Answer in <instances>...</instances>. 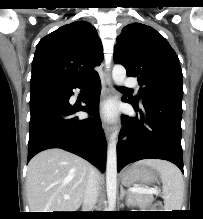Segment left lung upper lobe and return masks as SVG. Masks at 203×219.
Listing matches in <instances>:
<instances>
[{"mask_svg":"<svg viewBox=\"0 0 203 219\" xmlns=\"http://www.w3.org/2000/svg\"><path fill=\"white\" fill-rule=\"evenodd\" d=\"M114 61L127 76L137 77L140 97L172 96L182 99V69L168 41L155 29L141 23L125 26L114 47Z\"/></svg>","mask_w":203,"mask_h":219,"instance_id":"left-lung-upper-lobe-1","label":"left lung upper lobe"}]
</instances>
